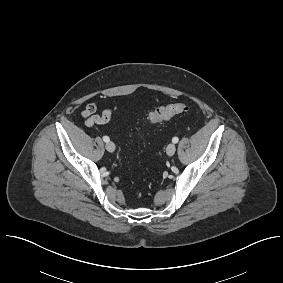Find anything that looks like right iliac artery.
<instances>
[{"label": "right iliac artery", "mask_w": 283, "mask_h": 283, "mask_svg": "<svg viewBox=\"0 0 283 283\" xmlns=\"http://www.w3.org/2000/svg\"><path fill=\"white\" fill-rule=\"evenodd\" d=\"M103 141H104V142H109V141H110V139H109V137H108V136H103Z\"/></svg>", "instance_id": "right-iliac-artery-1"}]
</instances>
